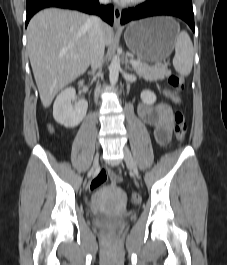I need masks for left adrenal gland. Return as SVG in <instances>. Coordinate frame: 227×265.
Listing matches in <instances>:
<instances>
[{"label": "left adrenal gland", "mask_w": 227, "mask_h": 265, "mask_svg": "<svg viewBox=\"0 0 227 265\" xmlns=\"http://www.w3.org/2000/svg\"><path fill=\"white\" fill-rule=\"evenodd\" d=\"M125 66H126V69H131L130 66H129V62H128V57L126 56L125 57Z\"/></svg>", "instance_id": "1"}]
</instances>
